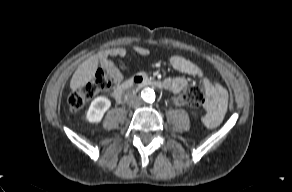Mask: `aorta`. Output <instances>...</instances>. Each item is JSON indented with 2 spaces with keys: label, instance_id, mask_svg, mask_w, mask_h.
Instances as JSON below:
<instances>
[{
  "label": "aorta",
  "instance_id": "aorta-1",
  "mask_svg": "<svg viewBox=\"0 0 292 192\" xmlns=\"http://www.w3.org/2000/svg\"><path fill=\"white\" fill-rule=\"evenodd\" d=\"M141 97L146 102H153L155 100V92L151 88H145L141 92Z\"/></svg>",
  "mask_w": 292,
  "mask_h": 192
}]
</instances>
